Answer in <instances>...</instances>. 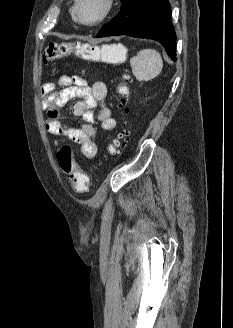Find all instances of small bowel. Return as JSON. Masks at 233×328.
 Listing matches in <instances>:
<instances>
[{
  "mask_svg": "<svg viewBox=\"0 0 233 328\" xmlns=\"http://www.w3.org/2000/svg\"><path fill=\"white\" fill-rule=\"evenodd\" d=\"M61 87L56 90V87ZM43 97L42 106L46 112V129L54 135H62L80 145L81 154L94 159L98 148L95 141L96 131L94 110L97 109L96 118L105 131L116 128V120L111 117L110 109L105 100L107 87L104 82L96 81L91 86L81 76L63 75L56 82H48L41 89ZM80 98L72 108L75 116L81 118L78 127H68L61 122L60 108L68 101Z\"/></svg>",
  "mask_w": 233,
  "mask_h": 328,
  "instance_id": "obj_1",
  "label": "small bowel"
}]
</instances>
